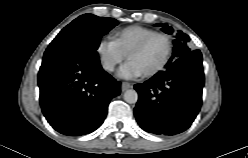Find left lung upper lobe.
<instances>
[{
    "label": "left lung upper lobe",
    "instance_id": "obj_1",
    "mask_svg": "<svg viewBox=\"0 0 248 158\" xmlns=\"http://www.w3.org/2000/svg\"><path fill=\"white\" fill-rule=\"evenodd\" d=\"M158 26H162V30L170 35H173V56L168 61L166 68L169 67L178 57L185 55L191 52L190 48L188 47L189 37L188 35L184 34L182 31H179L177 34H173V29L166 24H157Z\"/></svg>",
    "mask_w": 248,
    "mask_h": 158
}]
</instances>
